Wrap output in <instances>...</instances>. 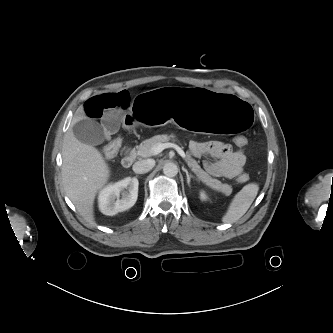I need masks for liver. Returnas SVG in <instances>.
Wrapping results in <instances>:
<instances>
[{
  "mask_svg": "<svg viewBox=\"0 0 333 333\" xmlns=\"http://www.w3.org/2000/svg\"><path fill=\"white\" fill-rule=\"evenodd\" d=\"M84 118L83 114L74 115L71 126ZM62 159V183L66 195L86 221L94 224V199L108 181V165L96 148L74 136L71 127L64 136Z\"/></svg>",
  "mask_w": 333,
  "mask_h": 333,
  "instance_id": "6515ba94",
  "label": "liver"
}]
</instances>
